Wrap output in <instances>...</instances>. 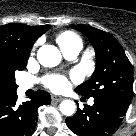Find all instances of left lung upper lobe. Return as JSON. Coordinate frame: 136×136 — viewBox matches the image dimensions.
<instances>
[{"instance_id": "5c2ea615", "label": "left lung upper lobe", "mask_w": 136, "mask_h": 136, "mask_svg": "<svg viewBox=\"0 0 136 136\" xmlns=\"http://www.w3.org/2000/svg\"><path fill=\"white\" fill-rule=\"evenodd\" d=\"M87 36L96 52V69L90 80L75 91L87 98H111L130 102L133 95L132 67L122 46L109 33L87 25H72Z\"/></svg>"}]
</instances>
